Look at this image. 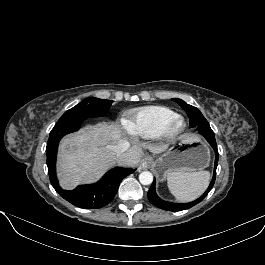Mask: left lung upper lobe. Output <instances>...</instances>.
<instances>
[{
    "label": "left lung upper lobe",
    "mask_w": 265,
    "mask_h": 265,
    "mask_svg": "<svg viewBox=\"0 0 265 265\" xmlns=\"http://www.w3.org/2000/svg\"><path fill=\"white\" fill-rule=\"evenodd\" d=\"M172 100L178 103L182 107V109L185 110L189 117L191 127H196L197 125L208 123L205 117L196 107L185 103L181 99L174 98Z\"/></svg>",
    "instance_id": "left-lung-upper-lobe-1"
}]
</instances>
